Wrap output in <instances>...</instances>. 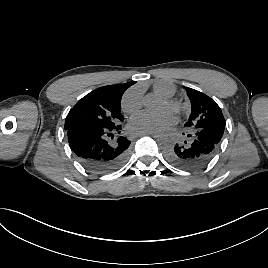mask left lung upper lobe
I'll return each instance as SVG.
<instances>
[{"label":"left lung upper lobe","mask_w":268,"mask_h":268,"mask_svg":"<svg viewBox=\"0 0 268 268\" xmlns=\"http://www.w3.org/2000/svg\"><path fill=\"white\" fill-rule=\"evenodd\" d=\"M187 95L191 102V114L185 127L191 132L204 128H217L225 126L226 121L217 103L197 90L186 88Z\"/></svg>","instance_id":"obj_1"}]
</instances>
